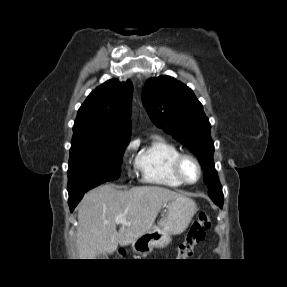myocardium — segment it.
Instances as JSON below:
<instances>
[{
	"label": "myocardium",
	"mask_w": 287,
	"mask_h": 287,
	"mask_svg": "<svg viewBox=\"0 0 287 287\" xmlns=\"http://www.w3.org/2000/svg\"><path fill=\"white\" fill-rule=\"evenodd\" d=\"M186 161L193 162L195 164V166L197 167L198 177H197V179L194 182H189L188 180L185 179V177L183 175V164ZM173 172H174V175L176 176V178L183 185H187V186H192V185L197 184L200 181V179L202 177V174H203L202 166H201L199 160L195 156H193L191 154H184V153L180 154L176 158V160L174 161Z\"/></svg>",
	"instance_id": "myocardium-1"
}]
</instances>
